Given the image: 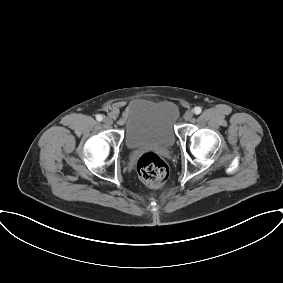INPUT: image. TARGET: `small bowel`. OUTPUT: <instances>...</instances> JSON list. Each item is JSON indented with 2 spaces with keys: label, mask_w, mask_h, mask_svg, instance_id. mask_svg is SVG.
I'll return each instance as SVG.
<instances>
[{
  "label": "small bowel",
  "mask_w": 283,
  "mask_h": 283,
  "mask_svg": "<svg viewBox=\"0 0 283 283\" xmlns=\"http://www.w3.org/2000/svg\"><path fill=\"white\" fill-rule=\"evenodd\" d=\"M125 107L124 102H118L114 104L109 111L110 117L117 120L120 125H123L126 120V110L122 112V109Z\"/></svg>",
  "instance_id": "c3829d8e"
}]
</instances>
